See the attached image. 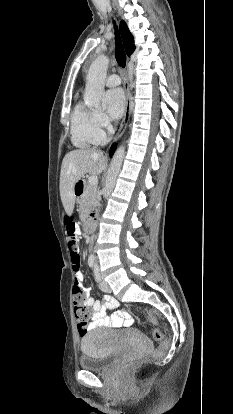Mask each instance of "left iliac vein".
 <instances>
[{
	"instance_id": "1",
	"label": "left iliac vein",
	"mask_w": 233,
	"mask_h": 414,
	"mask_svg": "<svg viewBox=\"0 0 233 414\" xmlns=\"http://www.w3.org/2000/svg\"><path fill=\"white\" fill-rule=\"evenodd\" d=\"M99 287L103 292H106V293L111 292V288H110L109 284L103 278H101V280H100Z\"/></svg>"
}]
</instances>
